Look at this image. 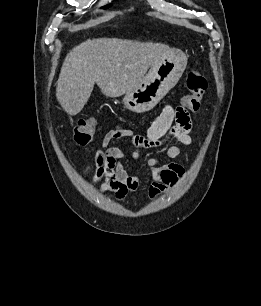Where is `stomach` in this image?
I'll return each instance as SVG.
<instances>
[{
    "instance_id": "0dacf381",
    "label": "stomach",
    "mask_w": 261,
    "mask_h": 306,
    "mask_svg": "<svg viewBox=\"0 0 261 306\" xmlns=\"http://www.w3.org/2000/svg\"><path fill=\"white\" fill-rule=\"evenodd\" d=\"M187 65V56L179 49L171 51L153 63L148 74L123 97L124 106L132 112L144 113L176 85Z\"/></svg>"
}]
</instances>
